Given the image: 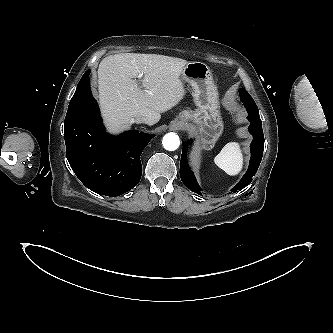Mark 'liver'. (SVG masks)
Returning <instances> with one entry per match:
<instances>
[{"instance_id":"obj_1","label":"liver","mask_w":333,"mask_h":333,"mask_svg":"<svg viewBox=\"0 0 333 333\" xmlns=\"http://www.w3.org/2000/svg\"><path fill=\"white\" fill-rule=\"evenodd\" d=\"M187 61L157 54L122 53L104 58L98 68L99 103L110 131L128 129L136 117L156 124L161 113L185 95L180 79ZM143 72L141 86L136 78Z\"/></svg>"}]
</instances>
